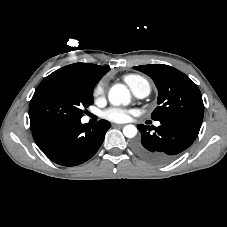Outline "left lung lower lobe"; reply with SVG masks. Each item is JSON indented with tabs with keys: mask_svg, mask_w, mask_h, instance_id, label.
<instances>
[{
	"mask_svg": "<svg viewBox=\"0 0 227 227\" xmlns=\"http://www.w3.org/2000/svg\"><path fill=\"white\" fill-rule=\"evenodd\" d=\"M159 127L138 125L141 139L134 144L135 152L143 159L164 164L187 149L198 136L202 122L187 118L160 121Z\"/></svg>",
	"mask_w": 227,
	"mask_h": 227,
	"instance_id": "1",
	"label": "left lung lower lobe"
}]
</instances>
